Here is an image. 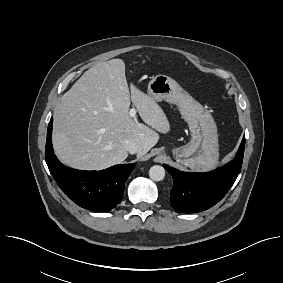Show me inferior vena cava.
Listing matches in <instances>:
<instances>
[{"mask_svg":"<svg viewBox=\"0 0 283 283\" xmlns=\"http://www.w3.org/2000/svg\"><path fill=\"white\" fill-rule=\"evenodd\" d=\"M125 149L130 153V154H135L138 153L139 151V146L136 142L132 140H127L125 141Z\"/></svg>","mask_w":283,"mask_h":283,"instance_id":"obj_1","label":"inferior vena cava"}]
</instances>
